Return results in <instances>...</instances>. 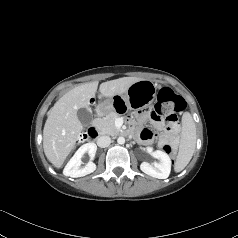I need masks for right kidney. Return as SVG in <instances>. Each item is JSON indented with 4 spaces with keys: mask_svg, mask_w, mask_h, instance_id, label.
<instances>
[{
    "mask_svg": "<svg viewBox=\"0 0 238 238\" xmlns=\"http://www.w3.org/2000/svg\"><path fill=\"white\" fill-rule=\"evenodd\" d=\"M97 146L94 143H86L82 145L70 159L63 170L65 176L73 178L82 177L88 175L96 170V165L92 161H89L85 167L81 168V158L88 152L90 159L93 160L96 154Z\"/></svg>",
    "mask_w": 238,
    "mask_h": 238,
    "instance_id": "ca27d5eb",
    "label": "right kidney"
}]
</instances>
